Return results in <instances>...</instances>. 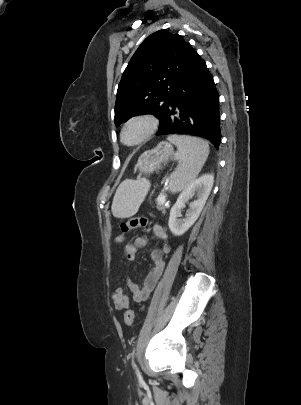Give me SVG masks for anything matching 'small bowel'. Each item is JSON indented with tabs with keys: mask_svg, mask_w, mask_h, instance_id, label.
Masks as SVG:
<instances>
[{
	"mask_svg": "<svg viewBox=\"0 0 301 405\" xmlns=\"http://www.w3.org/2000/svg\"><path fill=\"white\" fill-rule=\"evenodd\" d=\"M153 233L161 241V246L154 249L150 253L152 267L147 273L143 285L140 286L128 279V287L130 292H127L123 287H118L112 294L113 302L117 310L126 308L130 301L143 302L145 301L154 287L156 286L164 268V257L170 252L169 237L164 228L159 224L152 226ZM147 245L145 237H137L133 243H128L124 246L123 256L129 262H134L137 259L138 250Z\"/></svg>",
	"mask_w": 301,
	"mask_h": 405,
	"instance_id": "obj_1",
	"label": "small bowel"
}]
</instances>
